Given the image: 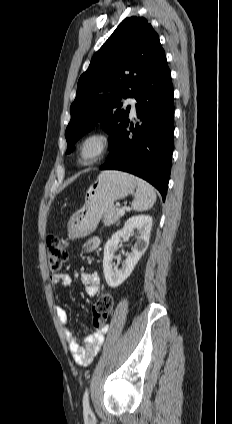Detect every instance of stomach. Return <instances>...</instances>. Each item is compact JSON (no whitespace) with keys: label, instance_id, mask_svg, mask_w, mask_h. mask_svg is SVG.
Returning <instances> with one entry per match:
<instances>
[{"label":"stomach","instance_id":"0dacf381","mask_svg":"<svg viewBox=\"0 0 232 424\" xmlns=\"http://www.w3.org/2000/svg\"><path fill=\"white\" fill-rule=\"evenodd\" d=\"M135 188V178L128 173L114 170L102 172L90 186L80 214L70 221L69 237L76 239L91 234L103 215L114 207V202L132 194Z\"/></svg>","mask_w":232,"mask_h":424}]
</instances>
